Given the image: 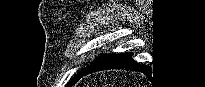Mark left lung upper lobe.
<instances>
[{
    "label": "left lung upper lobe",
    "mask_w": 205,
    "mask_h": 87,
    "mask_svg": "<svg viewBox=\"0 0 205 87\" xmlns=\"http://www.w3.org/2000/svg\"><path fill=\"white\" fill-rule=\"evenodd\" d=\"M87 67H88V66H87ZM87 67H86V68H87ZM86 68H84V69H86ZM84 69H82V71H83ZM82 71H80L76 76H74V77L67 83L66 87H71V86H73V85L78 81L79 76H80V74L82 73Z\"/></svg>",
    "instance_id": "1"
}]
</instances>
